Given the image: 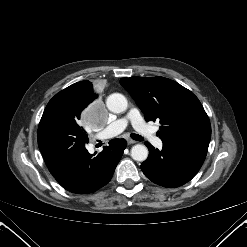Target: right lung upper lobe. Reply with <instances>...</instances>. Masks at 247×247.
I'll return each instance as SVG.
<instances>
[{
    "instance_id": "obj_1",
    "label": "right lung upper lobe",
    "mask_w": 247,
    "mask_h": 247,
    "mask_svg": "<svg viewBox=\"0 0 247 247\" xmlns=\"http://www.w3.org/2000/svg\"><path fill=\"white\" fill-rule=\"evenodd\" d=\"M65 89L71 90L75 92L77 95L85 97V98H96L97 97V94L94 91L92 83L87 80L72 84L71 86Z\"/></svg>"
}]
</instances>
